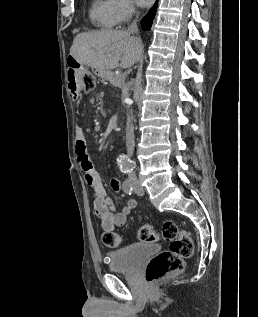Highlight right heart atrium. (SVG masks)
<instances>
[{
  "instance_id": "obj_1",
  "label": "right heart atrium",
  "mask_w": 258,
  "mask_h": 317,
  "mask_svg": "<svg viewBox=\"0 0 258 317\" xmlns=\"http://www.w3.org/2000/svg\"><path fill=\"white\" fill-rule=\"evenodd\" d=\"M134 12L135 8L130 0H114V26H123L132 18Z\"/></svg>"
}]
</instances>
